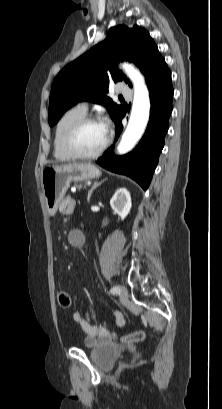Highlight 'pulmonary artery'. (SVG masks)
<instances>
[{
  "mask_svg": "<svg viewBox=\"0 0 222 409\" xmlns=\"http://www.w3.org/2000/svg\"><path fill=\"white\" fill-rule=\"evenodd\" d=\"M117 92L121 93L124 96L130 97V90L123 84H121L118 88H117ZM78 107L80 109H82L83 111H87L88 110V104L86 102H82L78 105Z\"/></svg>",
  "mask_w": 222,
  "mask_h": 409,
  "instance_id": "1",
  "label": "pulmonary artery"
}]
</instances>
